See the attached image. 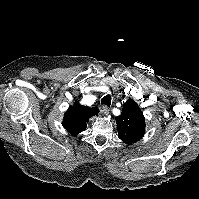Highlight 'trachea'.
Listing matches in <instances>:
<instances>
[{"label":"trachea","instance_id":"1","mask_svg":"<svg viewBox=\"0 0 199 199\" xmlns=\"http://www.w3.org/2000/svg\"><path fill=\"white\" fill-rule=\"evenodd\" d=\"M101 104L106 105V106H110L111 105V96L109 94L105 95L101 99Z\"/></svg>","mask_w":199,"mask_h":199}]
</instances>
